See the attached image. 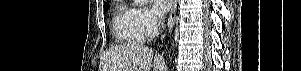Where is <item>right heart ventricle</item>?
Listing matches in <instances>:
<instances>
[{
    "label": "right heart ventricle",
    "mask_w": 301,
    "mask_h": 71,
    "mask_svg": "<svg viewBox=\"0 0 301 71\" xmlns=\"http://www.w3.org/2000/svg\"><path fill=\"white\" fill-rule=\"evenodd\" d=\"M113 34L122 44H138L145 39L136 18V9L124 3L116 8L113 19Z\"/></svg>",
    "instance_id": "right-heart-ventricle-1"
}]
</instances>
